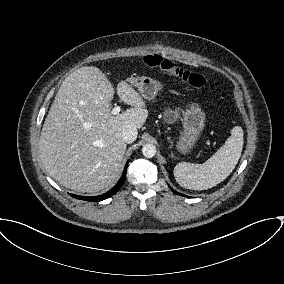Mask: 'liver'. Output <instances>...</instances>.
I'll list each match as a JSON object with an SVG mask.
<instances>
[{
    "label": "liver",
    "instance_id": "6515ba94",
    "mask_svg": "<svg viewBox=\"0 0 284 284\" xmlns=\"http://www.w3.org/2000/svg\"><path fill=\"white\" fill-rule=\"evenodd\" d=\"M115 90L102 71L83 66L60 86L45 119L39 150L49 175L78 192L109 190L122 172L127 144L122 130L140 129L148 117L140 94L126 81L117 84L120 100L131 108L113 116Z\"/></svg>",
    "mask_w": 284,
    "mask_h": 284
}]
</instances>
